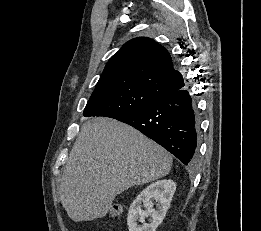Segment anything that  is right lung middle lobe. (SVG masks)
<instances>
[{
  "label": "right lung middle lobe",
  "instance_id": "dd1d6c3e",
  "mask_svg": "<svg viewBox=\"0 0 261 231\" xmlns=\"http://www.w3.org/2000/svg\"><path fill=\"white\" fill-rule=\"evenodd\" d=\"M159 99L154 94L135 86L93 92L83 115L119 119L132 114Z\"/></svg>",
  "mask_w": 261,
  "mask_h": 231
}]
</instances>
